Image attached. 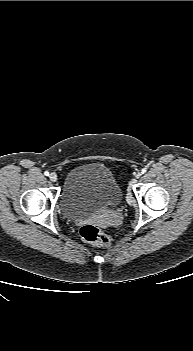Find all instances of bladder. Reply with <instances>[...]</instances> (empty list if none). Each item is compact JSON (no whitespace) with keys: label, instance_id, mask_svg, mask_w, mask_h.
Here are the masks:
<instances>
[{"label":"bladder","instance_id":"obj_1","mask_svg":"<svg viewBox=\"0 0 193 351\" xmlns=\"http://www.w3.org/2000/svg\"><path fill=\"white\" fill-rule=\"evenodd\" d=\"M121 201L122 190L112 171L100 163H87L67 173L60 207L66 218L78 220L116 207Z\"/></svg>","mask_w":193,"mask_h":351}]
</instances>
